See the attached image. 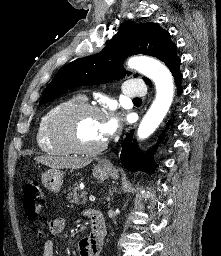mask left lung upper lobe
<instances>
[{"label":"left lung upper lobe","instance_id":"5c2ea615","mask_svg":"<svg viewBox=\"0 0 221 256\" xmlns=\"http://www.w3.org/2000/svg\"><path fill=\"white\" fill-rule=\"evenodd\" d=\"M170 34L157 23H124L105 48L98 54L77 59L62 67L46 87L40 104L79 86L101 84L123 78V61L134 54L154 56L173 73L179 70L180 59ZM138 74L135 75L137 77ZM151 84L148 78H143Z\"/></svg>","mask_w":221,"mask_h":256}]
</instances>
